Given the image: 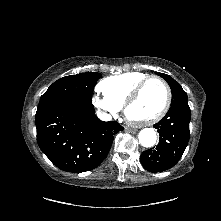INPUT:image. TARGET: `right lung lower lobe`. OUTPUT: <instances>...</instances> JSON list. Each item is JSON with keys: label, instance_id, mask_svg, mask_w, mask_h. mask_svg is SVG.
<instances>
[{"label": "right lung lower lobe", "instance_id": "1", "mask_svg": "<svg viewBox=\"0 0 221 221\" xmlns=\"http://www.w3.org/2000/svg\"><path fill=\"white\" fill-rule=\"evenodd\" d=\"M37 141L42 152L58 168L85 172L108 155L113 135L123 127L97 118L92 103L62 100L37 111Z\"/></svg>", "mask_w": 221, "mask_h": 221}]
</instances>
